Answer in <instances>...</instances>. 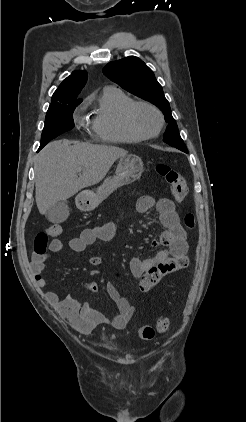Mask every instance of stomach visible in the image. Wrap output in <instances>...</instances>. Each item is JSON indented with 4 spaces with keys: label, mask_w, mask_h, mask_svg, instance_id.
Wrapping results in <instances>:
<instances>
[{
    "label": "stomach",
    "mask_w": 246,
    "mask_h": 422,
    "mask_svg": "<svg viewBox=\"0 0 246 422\" xmlns=\"http://www.w3.org/2000/svg\"><path fill=\"white\" fill-rule=\"evenodd\" d=\"M143 172V162L137 155H126L122 157L116 168L115 175L108 177L94 190H86L76 198L77 206L84 211L95 209L117 188L129 185L140 178Z\"/></svg>",
    "instance_id": "obj_1"
}]
</instances>
